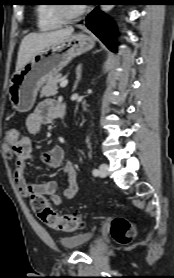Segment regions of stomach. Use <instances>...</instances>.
<instances>
[{"label":"stomach","mask_w":174,"mask_h":278,"mask_svg":"<svg viewBox=\"0 0 174 278\" xmlns=\"http://www.w3.org/2000/svg\"><path fill=\"white\" fill-rule=\"evenodd\" d=\"M94 39L84 33L65 37L34 55L20 70L16 71L9 84V100L19 112L29 111L41 86L57 75L73 58L91 50Z\"/></svg>","instance_id":"1"}]
</instances>
